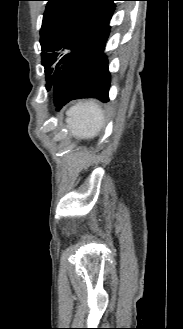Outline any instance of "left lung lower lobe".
Listing matches in <instances>:
<instances>
[{"mask_svg":"<svg viewBox=\"0 0 183 329\" xmlns=\"http://www.w3.org/2000/svg\"><path fill=\"white\" fill-rule=\"evenodd\" d=\"M115 8L102 17L84 36L74 53L63 62L52 86L54 103L59 110L71 100L97 98L109 101L110 72L105 54L110 20Z\"/></svg>","mask_w":183,"mask_h":329,"instance_id":"left-lung-lower-lobe-1","label":"left lung lower lobe"}]
</instances>
